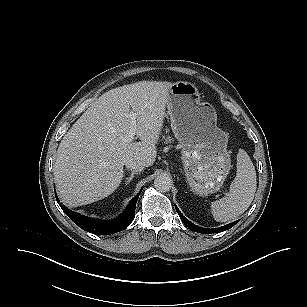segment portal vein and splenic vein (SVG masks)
Masks as SVG:
<instances>
[{
	"mask_svg": "<svg viewBox=\"0 0 307 307\" xmlns=\"http://www.w3.org/2000/svg\"><path fill=\"white\" fill-rule=\"evenodd\" d=\"M129 120H130V131L128 133V135L124 138V143L128 144L131 143L136 135V118H137V114L134 112H130V114L128 115Z\"/></svg>",
	"mask_w": 307,
	"mask_h": 307,
	"instance_id": "obj_1",
	"label": "portal vein and splenic vein"
}]
</instances>
